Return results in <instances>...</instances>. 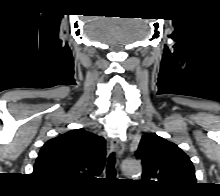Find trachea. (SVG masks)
I'll return each mask as SVG.
<instances>
[{
  "label": "trachea",
  "mask_w": 220,
  "mask_h": 196,
  "mask_svg": "<svg viewBox=\"0 0 220 196\" xmlns=\"http://www.w3.org/2000/svg\"><path fill=\"white\" fill-rule=\"evenodd\" d=\"M115 154L111 153L108 157L107 167H106V173L108 179H114L116 176V170H115Z\"/></svg>",
  "instance_id": "trachea-1"
}]
</instances>
